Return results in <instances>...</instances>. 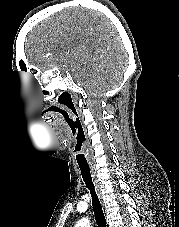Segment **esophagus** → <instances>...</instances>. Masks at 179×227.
Masks as SVG:
<instances>
[{"instance_id": "1", "label": "esophagus", "mask_w": 179, "mask_h": 227, "mask_svg": "<svg viewBox=\"0 0 179 227\" xmlns=\"http://www.w3.org/2000/svg\"><path fill=\"white\" fill-rule=\"evenodd\" d=\"M91 170H92V173H93V180H94V185H95V188H96V192H97V194L99 196V199L102 202V195H101V190H100V185H99L98 179L96 177L95 172H93V168Z\"/></svg>"}]
</instances>
